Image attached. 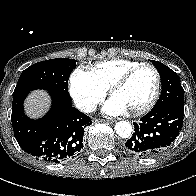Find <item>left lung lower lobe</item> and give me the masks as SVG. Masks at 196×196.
<instances>
[{
	"instance_id": "0a47b994",
	"label": "left lung lower lobe",
	"mask_w": 196,
	"mask_h": 196,
	"mask_svg": "<svg viewBox=\"0 0 196 196\" xmlns=\"http://www.w3.org/2000/svg\"><path fill=\"white\" fill-rule=\"evenodd\" d=\"M184 107L164 105L152 110L134 123L132 137L125 143L127 153L150 157L167 148L179 135L183 126Z\"/></svg>"
}]
</instances>
